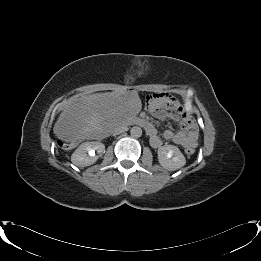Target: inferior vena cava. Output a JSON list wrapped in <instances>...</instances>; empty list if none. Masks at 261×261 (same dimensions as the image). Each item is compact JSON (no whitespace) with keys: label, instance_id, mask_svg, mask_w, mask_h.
<instances>
[{"label":"inferior vena cava","instance_id":"1","mask_svg":"<svg viewBox=\"0 0 261 261\" xmlns=\"http://www.w3.org/2000/svg\"><path fill=\"white\" fill-rule=\"evenodd\" d=\"M128 127L125 126V125H121V126H118L116 127L114 130H113V135H119L125 131H127Z\"/></svg>","mask_w":261,"mask_h":261}]
</instances>
